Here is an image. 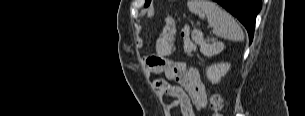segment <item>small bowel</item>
Segmentation results:
<instances>
[{
    "label": "small bowel",
    "instance_id": "1",
    "mask_svg": "<svg viewBox=\"0 0 305 116\" xmlns=\"http://www.w3.org/2000/svg\"><path fill=\"white\" fill-rule=\"evenodd\" d=\"M173 50V41L168 37L161 38L156 47V53L146 58L148 69L155 74H163L166 79H155L154 88L165 95L174 98L167 108L179 106L182 116H195L194 109L206 107L207 96L199 73L194 67L182 62L170 60L168 56Z\"/></svg>",
    "mask_w": 305,
    "mask_h": 116
}]
</instances>
